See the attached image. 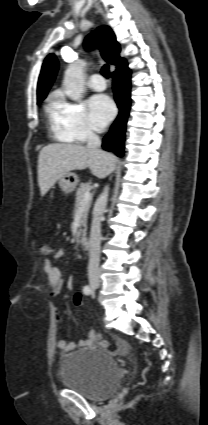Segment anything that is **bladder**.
<instances>
[{"label":"bladder","mask_w":208,"mask_h":425,"mask_svg":"<svg viewBox=\"0 0 208 425\" xmlns=\"http://www.w3.org/2000/svg\"><path fill=\"white\" fill-rule=\"evenodd\" d=\"M61 380L66 388L83 397L99 400L117 389L121 374L110 354L90 348L61 359Z\"/></svg>","instance_id":"1"}]
</instances>
